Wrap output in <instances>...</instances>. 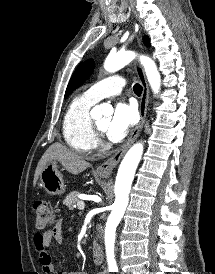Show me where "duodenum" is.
Returning a JSON list of instances; mask_svg holds the SVG:
<instances>
[{"label":"duodenum","mask_w":215,"mask_h":274,"mask_svg":"<svg viewBox=\"0 0 215 274\" xmlns=\"http://www.w3.org/2000/svg\"><path fill=\"white\" fill-rule=\"evenodd\" d=\"M92 258L96 265H101L104 261L103 249L99 244H93L92 246Z\"/></svg>","instance_id":"1"}]
</instances>
